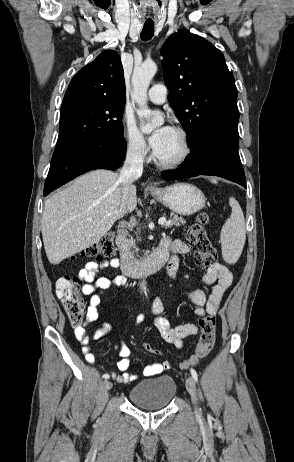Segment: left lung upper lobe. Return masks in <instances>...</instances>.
Wrapping results in <instances>:
<instances>
[{"mask_svg":"<svg viewBox=\"0 0 294 462\" xmlns=\"http://www.w3.org/2000/svg\"><path fill=\"white\" fill-rule=\"evenodd\" d=\"M161 55L168 100L190 147L214 122L238 111L234 77L222 52L196 34L171 35Z\"/></svg>","mask_w":294,"mask_h":462,"instance_id":"obj_1","label":"left lung upper lobe"}]
</instances>
